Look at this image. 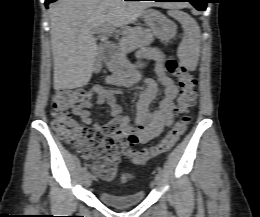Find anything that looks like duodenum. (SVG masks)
<instances>
[{
    "mask_svg": "<svg viewBox=\"0 0 260 217\" xmlns=\"http://www.w3.org/2000/svg\"><path fill=\"white\" fill-rule=\"evenodd\" d=\"M104 57L107 63L113 70H119L122 57L116 50L115 46H108L104 52Z\"/></svg>",
    "mask_w": 260,
    "mask_h": 217,
    "instance_id": "1",
    "label": "duodenum"
}]
</instances>
